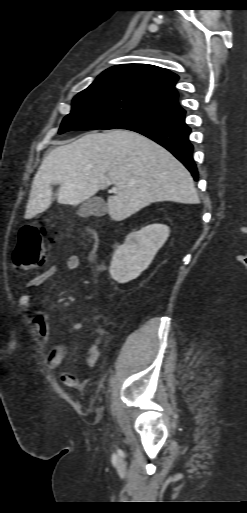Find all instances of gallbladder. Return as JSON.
<instances>
[{"mask_svg": "<svg viewBox=\"0 0 247 513\" xmlns=\"http://www.w3.org/2000/svg\"><path fill=\"white\" fill-rule=\"evenodd\" d=\"M107 213V206L102 198L94 197L86 200L79 207L77 214L83 218L89 216H104Z\"/></svg>", "mask_w": 247, "mask_h": 513, "instance_id": "bac80fb5", "label": "gallbladder"}]
</instances>
